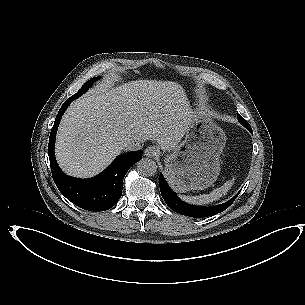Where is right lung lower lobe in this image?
Wrapping results in <instances>:
<instances>
[{"instance_id": "1", "label": "right lung lower lobe", "mask_w": 305, "mask_h": 305, "mask_svg": "<svg viewBox=\"0 0 305 305\" xmlns=\"http://www.w3.org/2000/svg\"><path fill=\"white\" fill-rule=\"evenodd\" d=\"M73 100L70 97L63 103L50 133L48 155L52 176L59 191L73 204L89 211H105L120 199L124 176L142 158V151L118 156L103 172L90 179H77L64 174L55 159L54 143L61 117Z\"/></svg>"}]
</instances>
